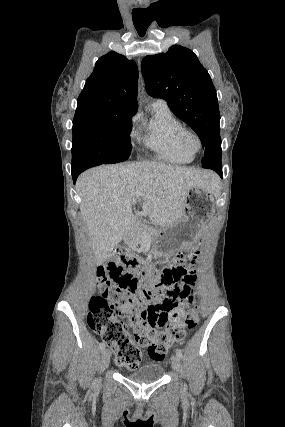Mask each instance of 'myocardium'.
Wrapping results in <instances>:
<instances>
[{
    "label": "myocardium",
    "instance_id": "1",
    "mask_svg": "<svg viewBox=\"0 0 285 427\" xmlns=\"http://www.w3.org/2000/svg\"><path fill=\"white\" fill-rule=\"evenodd\" d=\"M189 137H192L195 142H196V146L195 147H190L187 143V139ZM178 139L179 142L181 144V146L188 151L191 154H196L197 152H199L202 149V140L201 137L199 136V134L192 128L189 127H182L179 130L178 133Z\"/></svg>",
    "mask_w": 285,
    "mask_h": 427
}]
</instances>
